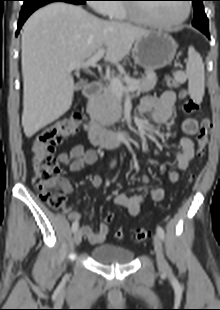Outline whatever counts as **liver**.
I'll return each mask as SVG.
<instances>
[{"label":"liver","mask_w":220,"mask_h":310,"mask_svg":"<svg viewBox=\"0 0 220 310\" xmlns=\"http://www.w3.org/2000/svg\"><path fill=\"white\" fill-rule=\"evenodd\" d=\"M150 33L133 25L102 20L80 6L56 2L31 15L23 27L22 126L30 138L71 107L74 81L68 66L106 47L105 61L117 64L137 38Z\"/></svg>","instance_id":"liver-1"}]
</instances>
